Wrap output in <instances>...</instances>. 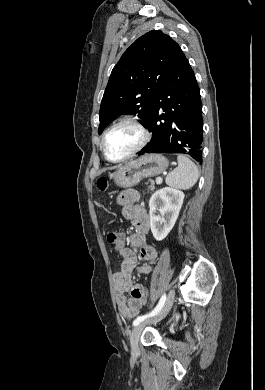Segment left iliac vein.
<instances>
[{
	"label": "left iliac vein",
	"instance_id": "left-iliac-vein-1",
	"mask_svg": "<svg viewBox=\"0 0 265 390\" xmlns=\"http://www.w3.org/2000/svg\"><path fill=\"white\" fill-rule=\"evenodd\" d=\"M174 297H175V293L173 290H171L169 292L161 310L154 316V318H152L151 320H149L147 322L140 323L133 328L131 335H130V344H131V349H132V352L134 355H137L139 353V347H138L139 338H140V335H141L143 329L145 328V326L147 324L156 323V322L162 320L170 311V309L173 305V302H174Z\"/></svg>",
	"mask_w": 265,
	"mask_h": 390
}]
</instances>
